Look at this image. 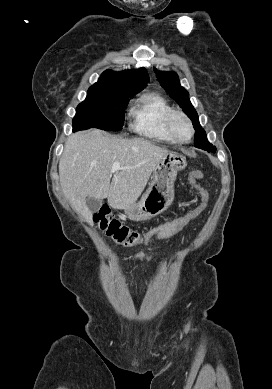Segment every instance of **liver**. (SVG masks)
I'll list each match as a JSON object with an SVG mask.
<instances>
[{
	"instance_id": "obj_1",
	"label": "liver",
	"mask_w": 272,
	"mask_h": 389,
	"mask_svg": "<svg viewBox=\"0 0 272 389\" xmlns=\"http://www.w3.org/2000/svg\"><path fill=\"white\" fill-rule=\"evenodd\" d=\"M169 153L143 138L109 137L104 131H82L70 136L59 162L60 185L71 206L88 223L92 214L86 198L108 199L114 209L136 202L158 162ZM115 162L120 169L111 180Z\"/></svg>"
}]
</instances>
